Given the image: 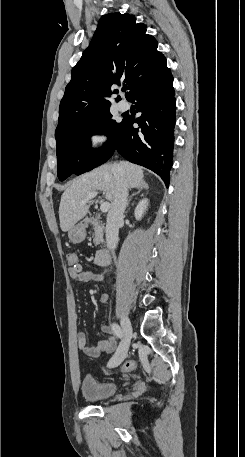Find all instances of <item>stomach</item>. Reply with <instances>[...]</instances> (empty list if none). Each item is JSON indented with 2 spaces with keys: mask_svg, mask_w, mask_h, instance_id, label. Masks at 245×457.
<instances>
[{
  "mask_svg": "<svg viewBox=\"0 0 245 457\" xmlns=\"http://www.w3.org/2000/svg\"><path fill=\"white\" fill-rule=\"evenodd\" d=\"M86 224L85 222H78V224H74L71 226L70 231H68V237L72 243H82L86 237Z\"/></svg>",
  "mask_w": 245,
  "mask_h": 457,
  "instance_id": "0dacf381",
  "label": "stomach"
}]
</instances>
